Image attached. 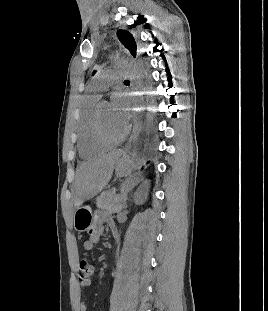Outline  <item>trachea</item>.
Instances as JSON below:
<instances>
[{
    "mask_svg": "<svg viewBox=\"0 0 268 311\" xmlns=\"http://www.w3.org/2000/svg\"><path fill=\"white\" fill-rule=\"evenodd\" d=\"M125 82H129V80H125Z\"/></svg>",
    "mask_w": 268,
    "mask_h": 311,
    "instance_id": "obj_1",
    "label": "trachea"
}]
</instances>
